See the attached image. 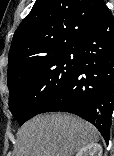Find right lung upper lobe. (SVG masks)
Segmentation results:
<instances>
[{"instance_id": "obj_1", "label": "right lung upper lobe", "mask_w": 114, "mask_h": 156, "mask_svg": "<svg viewBox=\"0 0 114 156\" xmlns=\"http://www.w3.org/2000/svg\"><path fill=\"white\" fill-rule=\"evenodd\" d=\"M108 10L102 0H36L13 36L8 86L38 63L75 48Z\"/></svg>"}]
</instances>
